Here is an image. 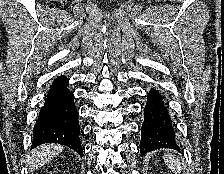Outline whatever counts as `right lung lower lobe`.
Listing matches in <instances>:
<instances>
[{"mask_svg":"<svg viewBox=\"0 0 224 174\" xmlns=\"http://www.w3.org/2000/svg\"><path fill=\"white\" fill-rule=\"evenodd\" d=\"M67 86L65 76L58 77L52 83L33 128L32 148L44 143H59L82 156L79 113L74 104V96Z\"/></svg>","mask_w":224,"mask_h":174,"instance_id":"right-lung-lower-lobe-1","label":"right lung lower lobe"}]
</instances>
